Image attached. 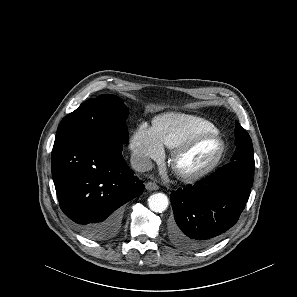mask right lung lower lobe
Returning a JSON list of instances; mask_svg holds the SVG:
<instances>
[{
	"label": "right lung lower lobe",
	"instance_id": "obj_1",
	"mask_svg": "<svg viewBox=\"0 0 297 297\" xmlns=\"http://www.w3.org/2000/svg\"><path fill=\"white\" fill-rule=\"evenodd\" d=\"M51 169L60 208L83 236L96 241L119 232L122 205L144 190L127 167L122 143L105 134L55 141Z\"/></svg>",
	"mask_w": 297,
	"mask_h": 297
}]
</instances>
